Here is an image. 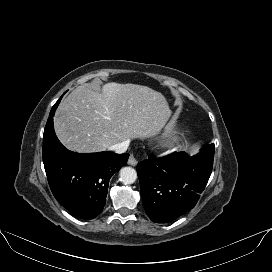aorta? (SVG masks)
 Here are the masks:
<instances>
[{
  "label": "aorta",
  "mask_w": 272,
  "mask_h": 272,
  "mask_svg": "<svg viewBox=\"0 0 272 272\" xmlns=\"http://www.w3.org/2000/svg\"><path fill=\"white\" fill-rule=\"evenodd\" d=\"M137 179L136 170L132 167H123L120 170V181L125 185L133 184Z\"/></svg>",
  "instance_id": "obj_1"
}]
</instances>
